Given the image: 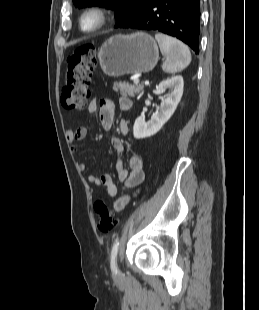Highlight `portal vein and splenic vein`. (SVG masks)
<instances>
[{
  "label": "portal vein and splenic vein",
  "instance_id": "1",
  "mask_svg": "<svg viewBox=\"0 0 259 310\" xmlns=\"http://www.w3.org/2000/svg\"><path fill=\"white\" fill-rule=\"evenodd\" d=\"M133 82L134 84H139V78H135Z\"/></svg>",
  "mask_w": 259,
  "mask_h": 310
}]
</instances>
